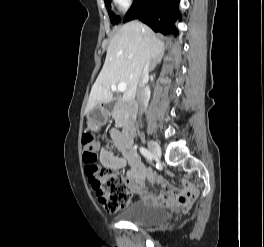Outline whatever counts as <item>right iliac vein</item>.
Wrapping results in <instances>:
<instances>
[{
  "instance_id": "right-iliac-vein-1",
  "label": "right iliac vein",
  "mask_w": 264,
  "mask_h": 247,
  "mask_svg": "<svg viewBox=\"0 0 264 247\" xmlns=\"http://www.w3.org/2000/svg\"><path fill=\"white\" fill-rule=\"evenodd\" d=\"M148 147H149L150 151L152 152V154L156 158H160V156H161V149H160V146L158 145V143H156L153 140H148Z\"/></svg>"
}]
</instances>
